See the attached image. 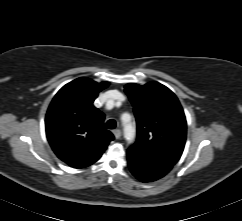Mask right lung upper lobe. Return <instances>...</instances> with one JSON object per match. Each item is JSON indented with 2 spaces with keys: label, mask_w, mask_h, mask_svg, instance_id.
I'll use <instances>...</instances> for the list:
<instances>
[{
  "label": "right lung upper lobe",
  "mask_w": 242,
  "mask_h": 221,
  "mask_svg": "<svg viewBox=\"0 0 242 221\" xmlns=\"http://www.w3.org/2000/svg\"><path fill=\"white\" fill-rule=\"evenodd\" d=\"M108 85L84 77L75 79L58 91L48 108L47 139L58 158L71 167L96 162L114 139L103 125L104 114L93 105Z\"/></svg>",
  "instance_id": "1"
}]
</instances>
